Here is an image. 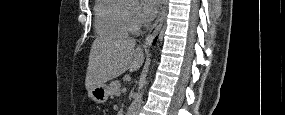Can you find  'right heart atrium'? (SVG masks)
Returning <instances> with one entry per match:
<instances>
[{
	"label": "right heart atrium",
	"instance_id": "d8ad5b80",
	"mask_svg": "<svg viewBox=\"0 0 285 115\" xmlns=\"http://www.w3.org/2000/svg\"><path fill=\"white\" fill-rule=\"evenodd\" d=\"M132 22H133L134 30H136L140 26V24H141V20H140V18L138 16H134L132 18Z\"/></svg>",
	"mask_w": 285,
	"mask_h": 115
}]
</instances>
